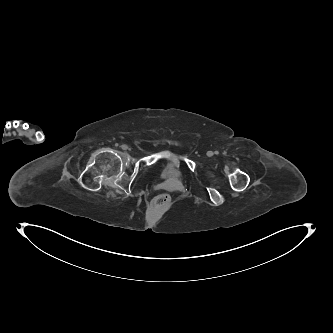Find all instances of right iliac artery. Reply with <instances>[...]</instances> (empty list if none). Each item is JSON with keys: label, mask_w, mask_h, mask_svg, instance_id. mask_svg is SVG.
<instances>
[{"label": "right iliac artery", "mask_w": 333, "mask_h": 333, "mask_svg": "<svg viewBox=\"0 0 333 333\" xmlns=\"http://www.w3.org/2000/svg\"><path fill=\"white\" fill-rule=\"evenodd\" d=\"M121 148L123 149V150H127V145H125V144H123V145H121Z\"/></svg>", "instance_id": "obj_1"}]
</instances>
